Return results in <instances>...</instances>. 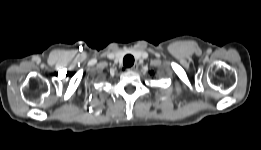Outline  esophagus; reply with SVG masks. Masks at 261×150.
<instances>
[{
	"label": "esophagus",
	"mask_w": 261,
	"mask_h": 150,
	"mask_svg": "<svg viewBox=\"0 0 261 150\" xmlns=\"http://www.w3.org/2000/svg\"><path fill=\"white\" fill-rule=\"evenodd\" d=\"M137 69V65H133L130 68H128L129 71H135Z\"/></svg>",
	"instance_id": "1"
}]
</instances>
